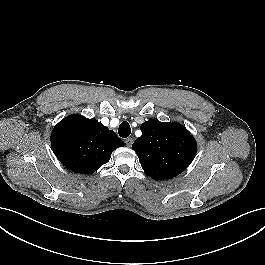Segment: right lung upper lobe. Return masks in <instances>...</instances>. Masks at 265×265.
I'll use <instances>...</instances> for the list:
<instances>
[{
	"instance_id": "cb5924a9",
	"label": "right lung upper lobe",
	"mask_w": 265,
	"mask_h": 265,
	"mask_svg": "<svg viewBox=\"0 0 265 265\" xmlns=\"http://www.w3.org/2000/svg\"><path fill=\"white\" fill-rule=\"evenodd\" d=\"M51 144L60 162L80 174L93 173L109 161L116 148L124 146L114 131L81 115L60 121L51 133Z\"/></svg>"
}]
</instances>
